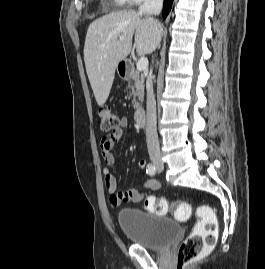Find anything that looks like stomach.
I'll return each mask as SVG.
<instances>
[{
	"label": "stomach",
	"instance_id": "stomach-1",
	"mask_svg": "<svg viewBox=\"0 0 265 269\" xmlns=\"http://www.w3.org/2000/svg\"><path fill=\"white\" fill-rule=\"evenodd\" d=\"M122 63H123V64H122ZM121 64H122V65H126V66L128 65V63H127L126 61H120V62L118 63V65H117V70H118V67H119ZM121 67H122V66H121ZM118 73L121 74L120 70H118Z\"/></svg>",
	"mask_w": 265,
	"mask_h": 269
}]
</instances>
